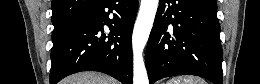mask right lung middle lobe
I'll list each match as a JSON object with an SVG mask.
<instances>
[{"label":"right lung middle lobe","mask_w":260,"mask_h":84,"mask_svg":"<svg viewBox=\"0 0 260 84\" xmlns=\"http://www.w3.org/2000/svg\"><path fill=\"white\" fill-rule=\"evenodd\" d=\"M63 29V27H59V28H54L52 37L55 36L58 32H60Z\"/></svg>","instance_id":"1"}]
</instances>
